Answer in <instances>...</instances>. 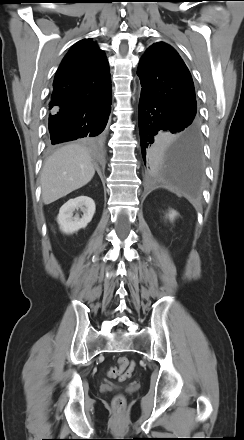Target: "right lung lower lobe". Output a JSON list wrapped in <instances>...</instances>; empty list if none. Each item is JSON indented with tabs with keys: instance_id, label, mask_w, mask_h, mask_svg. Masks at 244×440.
Masks as SVG:
<instances>
[{
	"instance_id": "right-lung-lower-lobe-1",
	"label": "right lung lower lobe",
	"mask_w": 244,
	"mask_h": 440,
	"mask_svg": "<svg viewBox=\"0 0 244 440\" xmlns=\"http://www.w3.org/2000/svg\"><path fill=\"white\" fill-rule=\"evenodd\" d=\"M112 95L99 104L71 112H50L49 132L51 144L79 138L101 137L111 111Z\"/></svg>"
}]
</instances>
